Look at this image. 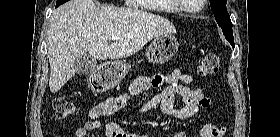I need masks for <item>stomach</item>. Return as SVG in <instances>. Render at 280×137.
<instances>
[{"instance_id":"1","label":"stomach","mask_w":280,"mask_h":137,"mask_svg":"<svg viewBox=\"0 0 280 137\" xmlns=\"http://www.w3.org/2000/svg\"><path fill=\"white\" fill-rule=\"evenodd\" d=\"M177 38L171 34L155 37L146 50L145 57L150 63L163 64L168 62L178 51ZM130 64L125 61H113L102 65L100 77L89 83L93 91H105L117 85L128 73Z\"/></svg>"}]
</instances>
